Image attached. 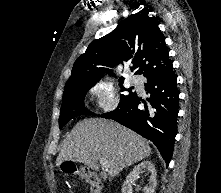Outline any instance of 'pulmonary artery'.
I'll list each match as a JSON object with an SVG mask.
<instances>
[{"mask_svg":"<svg viewBox=\"0 0 221 193\" xmlns=\"http://www.w3.org/2000/svg\"><path fill=\"white\" fill-rule=\"evenodd\" d=\"M131 83L133 85L140 86L141 85V80L138 76H133V77H131Z\"/></svg>","mask_w":221,"mask_h":193,"instance_id":"e3ab8cb5","label":"pulmonary artery"}]
</instances>
